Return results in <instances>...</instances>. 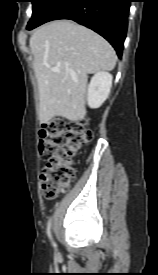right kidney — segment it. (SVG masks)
<instances>
[{"instance_id": "right-kidney-1", "label": "right kidney", "mask_w": 158, "mask_h": 275, "mask_svg": "<svg viewBox=\"0 0 158 275\" xmlns=\"http://www.w3.org/2000/svg\"><path fill=\"white\" fill-rule=\"evenodd\" d=\"M112 75L105 71L97 72L88 86L87 102L91 108L100 107L107 99L112 86Z\"/></svg>"}]
</instances>
